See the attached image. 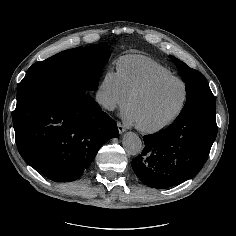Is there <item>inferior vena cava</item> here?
<instances>
[{
	"instance_id": "obj_1",
	"label": "inferior vena cava",
	"mask_w": 236,
	"mask_h": 236,
	"mask_svg": "<svg viewBox=\"0 0 236 236\" xmlns=\"http://www.w3.org/2000/svg\"><path fill=\"white\" fill-rule=\"evenodd\" d=\"M96 100L99 104L103 106H108L111 102L110 94L108 91H105L103 89H99L96 94Z\"/></svg>"
}]
</instances>
